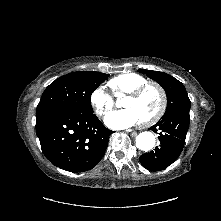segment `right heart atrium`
<instances>
[{
	"instance_id": "1",
	"label": "right heart atrium",
	"mask_w": 221,
	"mask_h": 221,
	"mask_svg": "<svg viewBox=\"0 0 221 221\" xmlns=\"http://www.w3.org/2000/svg\"><path fill=\"white\" fill-rule=\"evenodd\" d=\"M90 102L95 114L99 117L105 116L115 105L113 98L101 87L91 93Z\"/></svg>"
}]
</instances>
